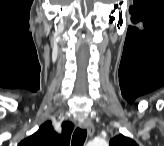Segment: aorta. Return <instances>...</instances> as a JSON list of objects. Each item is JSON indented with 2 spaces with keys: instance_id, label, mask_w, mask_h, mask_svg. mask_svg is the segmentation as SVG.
<instances>
[{
  "instance_id": "762f6f07",
  "label": "aorta",
  "mask_w": 164,
  "mask_h": 146,
  "mask_svg": "<svg viewBox=\"0 0 164 146\" xmlns=\"http://www.w3.org/2000/svg\"><path fill=\"white\" fill-rule=\"evenodd\" d=\"M90 146H107V142L103 139H96L91 141Z\"/></svg>"
}]
</instances>
